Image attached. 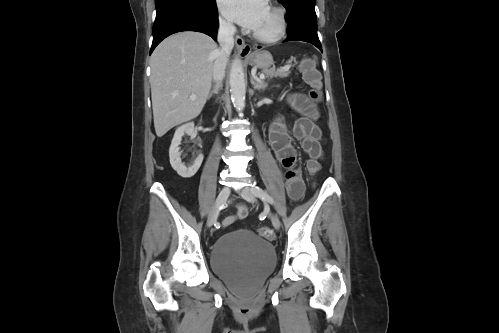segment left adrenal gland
I'll use <instances>...</instances> for the list:
<instances>
[{
    "label": "left adrenal gland",
    "mask_w": 499,
    "mask_h": 333,
    "mask_svg": "<svg viewBox=\"0 0 499 333\" xmlns=\"http://www.w3.org/2000/svg\"><path fill=\"white\" fill-rule=\"evenodd\" d=\"M251 84L253 85L254 90H265L268 86L267 83H262L259 79L251 76L250 78Z\"/></svg>",
    "instance_id": "1"
}]
</instances>
